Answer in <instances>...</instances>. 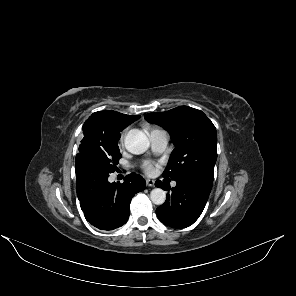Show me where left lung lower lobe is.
I'll return each mask as SVG.
<instances>
[{
    "label": "left lung lower lobe",
    "instance_id": "obj_1",
    "mask_svg": "<svg viewBox=\"0 0 296 296\" xmlns=\"http://www.w3.org/2000/svg\"><path fill=\"white\" fill-rule=\"evenodd\" d=\"M172 193L167 194L164 204L157 208L160 221L174 228L192 225L201 215L208 200L213 178L208 176H191L176 181ZM155 185L170 190L160 180Z\"/></svg>",
    "mask_w": 296,
    "mask_h": 296
}]
</instances>
